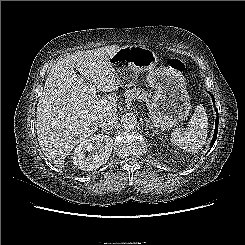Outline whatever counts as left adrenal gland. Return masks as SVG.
<instances>
[{"instance_id":"a2214340","label":"left adrenal gland","mask_w":245,"mask_h":245,"mask_svg":"<svg viewBox=\"0 0 245 245\" xmlns=\"http://www.w3.org/2000/svg\"><path fill=\"white\" fill-rule=\"evenodd\" d=\"M144 120L146 122V129L147 130H148V128H153V127L150 126L149 121H148V119L146 117H144ZM154 133H156V132L154 131Z\"/></svg>"}]
</instances>
